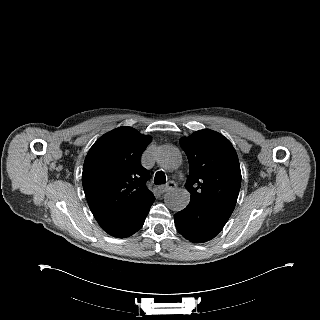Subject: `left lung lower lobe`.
<instances>
[{"label":"left lung lower lobe","mask_w":320,"mask_h":320,"mask_svg":"<svg viewBox=\"0 0 320 320\" xmlns=\"http://www.w3.org/2000/svg\"><path fill=\"white\" fill-rule=\"evenodd\" d=\"M231 215L206 203L190 200L188 206L174 215L178 232L194 243L214 238Z\"/></svg>","instance_id":"left-lung-lower-lobe-1"}]
</instances>
